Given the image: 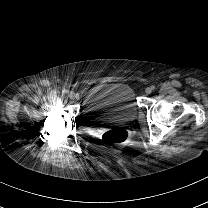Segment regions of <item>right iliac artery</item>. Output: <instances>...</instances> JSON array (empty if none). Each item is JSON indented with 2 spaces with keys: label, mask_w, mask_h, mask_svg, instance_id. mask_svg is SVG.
Listing matches in <instances>:
<instances>
[{
  "label": "right iliac artery",
  "mask_w": 208,
  "mask_h": 208,
  "mask_svg": "<svg viewBox=\"0 0 208 208\" xmlns=\"http://www.w3.org/2000/svg\"><path fill=\"white\" fill-rule=\"evenodd\" d=\"M62 93L67 94V93H68V90L64 89V90L62 91Z\"/></svg>",
  "instance_id": "82829eb1"
}]
</instances>
